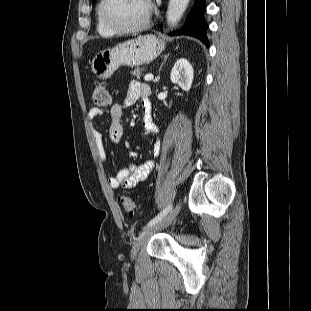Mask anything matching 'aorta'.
I'll return each instance as SVG.
<instances>
[{"label":"aorta","mask_w":311,"mask_h":311,"mask_svg":"<svg viewBox=\"0 0 311 311\" xmlns=\"http://www.w3.org/2000/svg\"><path fill=\"white\" fill-rule=\"evenodd\" d=\"M190 0H170L166 14L167 23L175 26L183 16Z\"/></svg>","instance_id":"762f6f07"}]
</instances>
